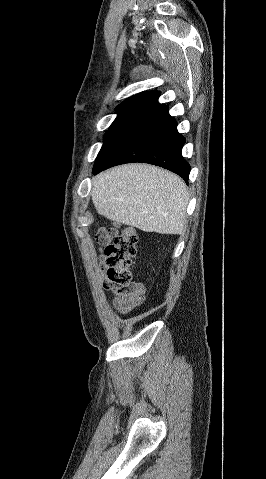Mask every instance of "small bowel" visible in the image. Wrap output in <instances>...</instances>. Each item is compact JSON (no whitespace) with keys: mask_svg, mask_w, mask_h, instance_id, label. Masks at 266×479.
<instances>
[{"mask_svg":"<svg viewBox=\"0 0 266 479\" xmlns=\"http://www.w3.org/2000/svg\"><path fill=\"white\" fill-rule=\"evenodd\" d=\"M105 285L112 294V305L117 312L129 314L141 306L145 292V286L142 283L133 282L131 287L124 291L113 290L108 280L105 281Z\"/></svg>","mask_w":266,"mask_h":479,"instance_id":"small-bowel-1","label":"small bowel"}]
</instances>
